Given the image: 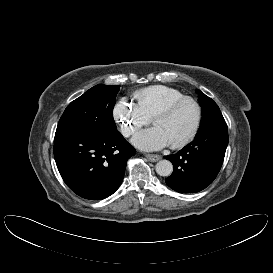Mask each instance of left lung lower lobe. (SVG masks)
Returning a JSON list of instances; mask_svg holds the SVG:
<instances>
[{
    "label": "left lung lower lobe",
    "mask_w": 273,
    "mask_h": 273,
    "mask_svg": "<svg viewBox=\"0 0 273 273\" xmlns=\"http://www.w3.org/2000/svg\"><path fill=\"white\" fill-rule=\"evenodd\" d=\"M228 145V129L198 133L193 142L175 155L165 156L173 164L167 185L179 193H196L216 178Z\"/></svg>",
    "instance_id": "0a47b994"
}]
</instances>
